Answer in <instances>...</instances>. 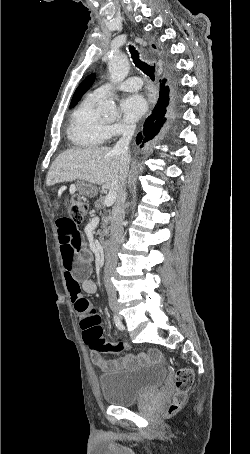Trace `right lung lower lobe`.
<instances>
[{
    "mask_svg": "<svg viewBox=\"0 0 250 454\" xmlns=\"http://www.w3.org/2000/svg\"><path fill=\"white\" fill-rule=\"evenodd\" d=\"M165 82L166 80L163 79L158 102L156 103L152 114L146 119L142 133L137 135V143H140L141 141L146 143L153 140L165 124V114L169 104V87L164 86ZM142 146L143 144L141 147Z\"/></svg>",
    "mask_w": 250,
    "mask_h": 454,
    "instance_id": "1",
    "label": "right lung lower lobe"
}]
</instances>
